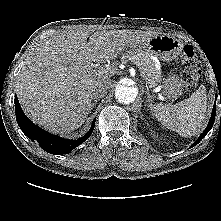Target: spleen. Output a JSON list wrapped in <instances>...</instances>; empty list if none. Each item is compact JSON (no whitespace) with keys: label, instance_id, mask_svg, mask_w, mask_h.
Returning <instances> with one entry per match:
<instances>
[{"label":"spleen","instance_id":"obj_1","mask_svg":"<svg viewBox=\"0 0 221 221\" xmlns=\"http://www.w3.org/2000/svg\"><path fill=\"white\" fill-rule=\"evenodd\" d=\"M207 96L201 86L188 99L175 105L157 104L153 106L156 118L167 128L182 137L194 136L206 122Z\"/></svg>","mask_w":221,"mask_h":221}]
</instances>
